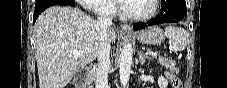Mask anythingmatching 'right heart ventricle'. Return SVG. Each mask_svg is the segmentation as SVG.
I'll return each mask as SVG.
<instances>
[{
	"label": "right heart ventricle",
	"instance_id": "obj_1",
	"mask_svg": "<svg viewBox=\"0 0 227 88\" xmlns=\"http://www.w3.org/2000/svg\"><path fill=\"white\" fill-rule=\"evenodd\" d=\"M109 9H110L111 12H113V8L110 5H109Z\"/></svg>",
	"mask_w": 227,
	"mask_h": 88
}]
</instances>
